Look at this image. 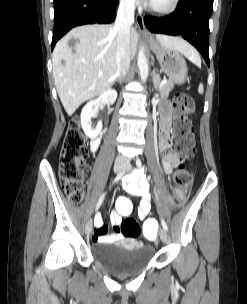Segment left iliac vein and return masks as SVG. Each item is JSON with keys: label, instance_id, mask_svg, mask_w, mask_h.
<instances>
[{"label": "left iliac vein", "instance_id": "4c4485c4", "mask_svg": "<svg viewBox=\"0 0 247 304\" xmlns=\"http://www.w3.org/2000/svg\"><path fill=\"white\" fill-rule=\"evenodd\" d=\"M126 168L128 171H131V165L130 163H127L126 164ZM167 238H168V235H167V232L165 229H161L160 230V239L163 243L167 242Z\"/></svg>", "mask_w": 247, "mask_h": 304}]
</instances>
